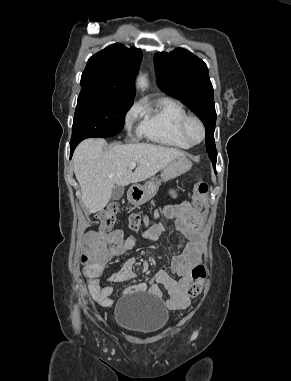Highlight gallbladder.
I'll return each mask as SVG.
<instances>
[{
  "label": "gallbladder",
  "instance_id": "gallbladder-1",
  "mask_svg": "<svg viewBox=\"0 0 291 381\" xmlns=\"http://www.w3.org/2000/svg\"><path fill=\"white\" fill-rule=\"evenodd\" d=\"M123 194H124V187L115 185L111 194V198L113 200H119L123 196Z\"/></svg>",
  "mask_w": 291,
  "mask_h": 381
}]
</instances>
